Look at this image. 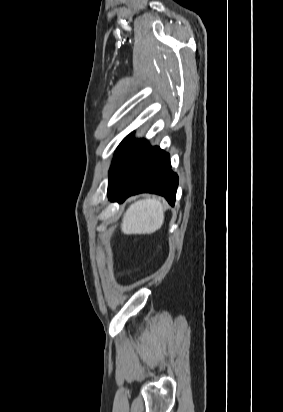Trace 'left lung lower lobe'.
Listing matches in <instances>:
<instances>
[{
	"instance_id": "obj_1",
	"label": "left lung lower lobe",
	"mask_w": 283,
	"mask_h": 412,
	"mask_svg": "<svg viewBox=\"0 0 283 412\" xmlns=\"http://www.w3.org/2000/svg\"><path fill=\"white\" fill-rule=\"evenodd\" d=\"M169 154L159 147L150 146L130 177L121 182L113 165L109 171L108 197L123 202L139 193H155L164 196L174 205L178 176L171 170Z\"/></svg>"
}]
</instances>
